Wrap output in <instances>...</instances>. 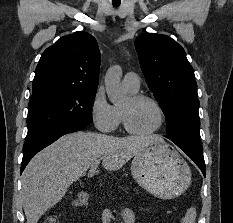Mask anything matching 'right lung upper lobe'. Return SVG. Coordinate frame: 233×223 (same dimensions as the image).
I'll use <instances>...</instances> for the list:
<instances>
[{"instance_id":"cb5924a9","label":"right lung upper lobe","mask_w":233,"mask_h":223,"mask_svg":"<svg viewBox=\"0 0 233 223\" xmlns=\"http://www.w3.org/2000/svg\"><path fill=\"white\" fill-rule=\"evenodd\" d=\"M99 66L100 52L93 36L78 31L61 37L42 54L32 95L57 89L96 90Z\"/></svg>"}]
</instances>
